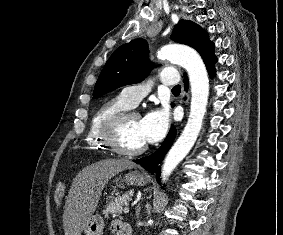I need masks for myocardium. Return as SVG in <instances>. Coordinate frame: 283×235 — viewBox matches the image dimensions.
Listing matches in <instances>:
<instances>
[{
    "instance_id": "myocardium-1",
    "label": "myocardium",
    "mask_w": 283,
    "mask_h": 235,
    "mask_svg": "<svg viewBox=\"0 0 283 235\" xmlns=\"http://www.w3.org/2000/svg\"><path fill=\"white\" fill-rule=\"evenodd\" d=\"M131 117H140L133 110L127 109L120 111L109 117L103 124L100 135L106 147L115 154L122 156H138L146 151L147 144L142 145L137 149L123 148L118 141V134L122 125Z\"/></svg>"
}]
</instances>
